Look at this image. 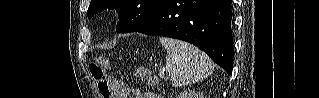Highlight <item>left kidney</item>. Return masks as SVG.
I'll list each match as a JSON object with an SVG mask.
<instances>
[{"label": "left kidney", "instance_id": "1", "mask_svg": "<svg viewBox=\"0 0 319 98\" xmlns=\"http://www.w3.org/2000/svg\"><path fill=\"white\" fill-rule=\"evenodd\" d=\"M178 98H204V94L197 91H184L179 94Z\"/></svg>", "mask_w": 319, "mask_h": 98}]
</instances>
